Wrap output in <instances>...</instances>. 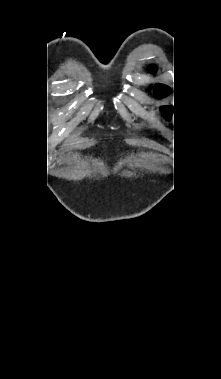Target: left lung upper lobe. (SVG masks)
Masks as SVG:
<instances>
[{"label":"left lung upper lobe","instance_id":"obj_1","mask_svg":"<svg viewBox=\"0 0 221 379\" xmlns=\"http://www.w3.org/2000/svg\"><path fill=\"white\" fill-rule=\"evenodd\" d=\"M157 70V68L155 66L153 67H149V71L151 73H155ZM168 94H170V88L166 85H162V84H156L155 87H154V95L158 98H161L163 96H167ZM162 110V113L163 115L165 116L166 119H170L171 118V114H172V107L171 106H163L161 108Z\"/></svg>","mask_w":221,"mask_h":379}]
</instances>
